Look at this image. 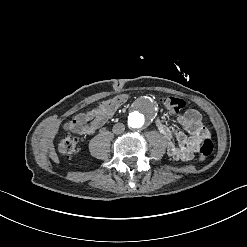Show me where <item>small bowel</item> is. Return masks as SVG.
Returning a JSON list of instances; mask_svg holds the SVG:
<instances>
[{
	"instance_id": "small-bowel-1",
	"label": "small bowel",
	"mask_w": 247,
	"mask_h": 247,
	"mask_svg": "<svg viewBox=\"0 0 247 247\" xmlns=\"http://www.w3.org/2000/svg\"><path fill=\"white\" fill-rule=\"evenodd\" d=\"M108 116L109 114L103 113L100 108H93L87 112L78 113L64 127L78 135H91L104 126ZM178 122L186 129L188 135L171 129L160 119L156 121V128L168 142V155L177 160L187 161L199 151L207 129L202 123L200 112L196 109L187 110L178 117Z\"/></svg>"
}]
</instances>
